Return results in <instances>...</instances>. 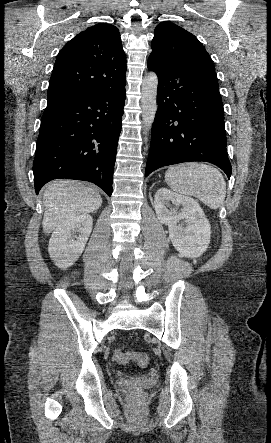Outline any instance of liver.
<instances>
[{"label": "liver", "instance_id": "liver-1", "mask_svg": "<svg viewBox=\"0 0 271 443\" xmlns=\"http://www.w3.org/2000/svg\"><path fill=\"white\" fill-rule=\"evenodd\" d=\"M43 200L45 212L42 227L45 233H50L57 225L78 214L95 212L102 204V198L96 190L73 180L51 182L44 190Z\"/></svg>", "mask_w": 271, "mask_h": 443}]
</instances>
